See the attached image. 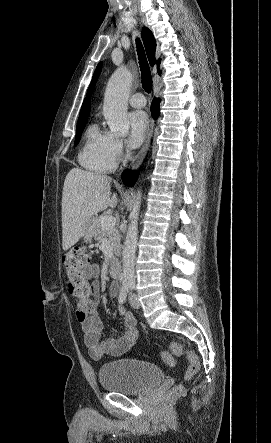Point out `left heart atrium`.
Wrapping results in <instances>:
<instances>
[{"label":"left heart atrium","instance_id":"1","mask_svg":"<svg viewBox=\"0 0 271 443\" xmlns=\"http://www.w3.org/2000/svg\"><path fill=\"white\" fill-rule=\"evenodd\" d=\"M130 144L134 147L141 145L149 131V120L144 111L136 110L129 114Z\"/></svg>","mask_w":271,"mask_h":443}]
</instances>
